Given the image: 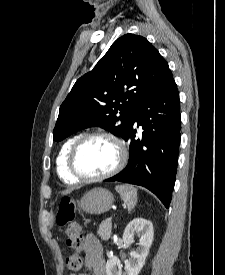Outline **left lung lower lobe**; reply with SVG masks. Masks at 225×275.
I'll use <instances>...</instances> for the list:
<instances>
[{
    "instance_id": "left-lung-lower-lobe-1",
    "label": "left lung lower lobe",
    "mask_w": 225,
    "mask_h": 275,
    "mask_svg": "<svg viewBox=\"0 0 225 275\" xmlns=\"http://www.w3.org/2000/svg\"><path fill=\"white\" fill-rule=\"evenodd\" d=\"M136 122L142 126L137 138ZM180 100L170 71L146 97L124 138L129 145L127 166L106 182L118 181L143 186L169 208L176 180L180 145Z\"/></svg>"
}]
</instances>
